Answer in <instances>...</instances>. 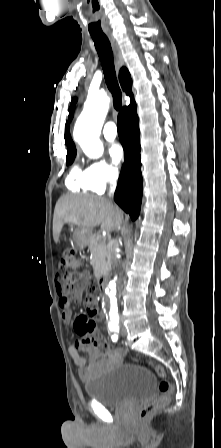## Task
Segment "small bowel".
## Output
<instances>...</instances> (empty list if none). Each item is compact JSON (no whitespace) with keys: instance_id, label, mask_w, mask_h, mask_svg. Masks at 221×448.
Returning <instances> with one entry per match:
<instances>
[{"instance_id":"1","label":"small bowel","mask_w":221,"mask_h":448,"mask_svg":"<svg viewBox=\"0 0 221 448\" xmlns=\"http://www.w3.org/2000/svg\"><path fill=\"white\" fill-rule=\"evenodd\" d=\"M86 282L87 276L84 273L77 275L72 282L68 293L74 301L80 302L82 300ZM58 295L63 322L68 324L72 321L70 299L64 290L58 289ZM100 317H102V312L95 301L92 303L87 301V313L74 321V329L80 335V339L75 345L69 347V352L74 364L79 368L81 380L85 382L90 379L92 374L120 363L125 354L121 348L112 349L103 334L95 327L92 330L95 331V335L90 336L88 334L92 331L86 330V326L92 321V318ZM78 348L87 353V358L79 354Z\"/></svg>"}]
</instances>
